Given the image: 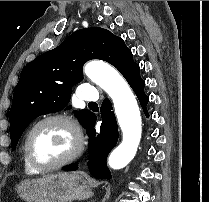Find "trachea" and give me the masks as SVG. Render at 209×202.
Returning <instances> with one entry per match:
<instances>
[{
  "label": "trachea",
  "mask_w": 209,
  "mask_h": 202,
  "mask_svg": "<svg viewBox=\"0 0 209 202\" xmlns=\"http://www.w3.org/2000/svg\"><path fill=\"white\" fill-rule=\"evenodd\" d=\"M89 104H96V103L90 102Z\"/></svg>",
  "instance_id": "3493384b"
}]
</instances>
